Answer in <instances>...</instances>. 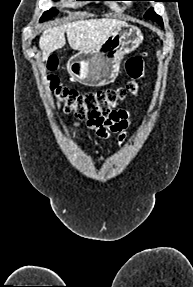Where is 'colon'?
I'll return each mask as SVG.
<instances>
[{
	"mask_svg": "<svg viewBox=\"0 0 193 287\" xmlns=\"http://www.w3.org/2000/svg\"><path fill=\"white\" fill-rule=\"evenodd\" d=\"M145 55L129 58L125 69L130 81L123 87L95 92L79 93L63 86L51 72L57 68V59L52 57L48 63L47 85L65 111L73 112L79 118L99 120L109 116L116 106L139 91L138 81L145 73Z\"/></svg>",
	"mask_w": 193,
	"mask_h": 287,
	"instance_id": "obj_1",
	"label": "colon"
}]
</instances>
